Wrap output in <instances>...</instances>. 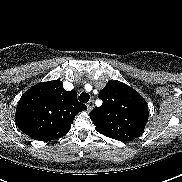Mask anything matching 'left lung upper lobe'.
<instances>
[{
  "label": "left lung upper lobe",
  "instance_id": "left-lung-upper-lobe-1",
  "mask_svg": "<svg viewBox=\"0 0 182 182\" xmlns=\"http://www.w3.org/2000/svg\"><path fill=\"white\" fill-rule=\"evenodd\" d=\"M98 97L103 105L89 115L99 133L119 141L142 135L149 111L145 99L136 90L120 81H109Z\"/></svg>",
  "mask_w": 182,
  "mask_h": 182
}]
</instances>
